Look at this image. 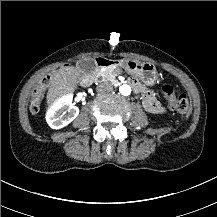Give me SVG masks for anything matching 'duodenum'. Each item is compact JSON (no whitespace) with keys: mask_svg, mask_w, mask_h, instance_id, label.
<instances>
[{"mask_svg":"<svg viewBox=\"0 0 217 217\" xmlns=\"http://www.w3.org/2000/svg\"><path fill=\"white\" fill-rule=\"evenodd\" d=\"M95 64L98 67H116L120 64V61L117 59H109L105 57H98L95 59ZM93 77L89 76L86 78V81L90 82L92 81ZM134 86H137L135 82H133Z\"/></svg>","mask_w":217,"mask_h":217,"instance_id":"obj_1","label":"duodenum"}]
</instances>
